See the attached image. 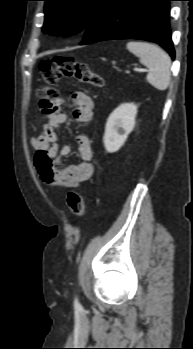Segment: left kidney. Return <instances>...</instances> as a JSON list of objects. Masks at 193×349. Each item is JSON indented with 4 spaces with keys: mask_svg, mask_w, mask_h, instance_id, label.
I'll return each instance as SVG.
<instances>
[{
    "mask_svg": "<svg viewBox=\"0 0 193 349\" xmlns=\"http://www.w3.org/2000/svg\"><path fill=\"white\" fill-rule=\"evenodd\" d=\"M137 106L134 103H123L107 119L103 137L107 152L118 151L135 127Z\"/></svg>",
    "mask_w": 193,
    "mask_h": 349,
    "instance_id": "5707ae66",
    "label": "left kidney"
}]
</instances>
